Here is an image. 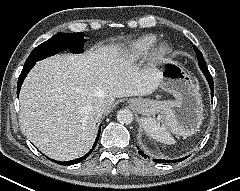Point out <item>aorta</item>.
I'll return each instance as SVG.
<instances>
[{
  "instance_id": "aorta-1",
  "label": "aorta",
  "mask_w": 240,
  "mask_h": 191,
  "mask_svg": "<svg viewBox=\"0 0 240 191\" xmlns=\"http://www.w3.org/2000/svg\"><path fill=\"white\" fill-rule=\"evenodd\" d=\"M134 119L133 113L129 109H121L117 112V120L121 124L129 125Z\"/></svg>"
}]
</instances>
